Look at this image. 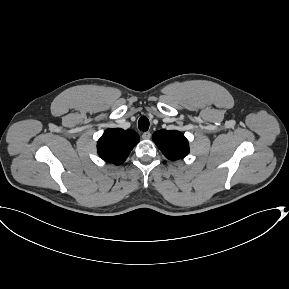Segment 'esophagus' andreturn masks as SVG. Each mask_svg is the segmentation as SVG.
<instances>
[{"label":"esophagus","mask_w":289,"mask_h":289,"mask_svg":"<svg viewBox=\"0 0 289 289\" xmlns=\"http://www.w3.org/2000/svg\"><path fill=\"white\" fill-rule=\"evenodd\" d=\"M150 137H151V133L150 132H144L142 134V138L145 139V140L150 139Z\"/></svg>","instance_id":"esophagus-1"}]
</instances>
